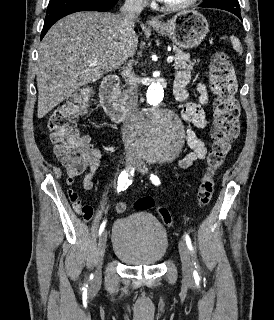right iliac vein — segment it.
I'll return each mask as SVG.
<instances>
[{"label": "right iliac vein", "instance_id": "63e3f726", "mask_svg": "<svg viewBox=\"0 0 274 320\" xmlns=\"http://www.w3.org/2000/svg\"><path fill=\"white\" fill-rule=\"evenodd\" d=\"M137 161L133 158H127L125 161V165L127 168H131L135 166ZM106 243H107V232L104 231L98 241L97 251H96V271L94 274V278L92 281V286L94 288L98 287L101 283V264L104 257L105 249H106Z\"/></svg>", "mask_w": 274, "mask_h": 320}]
</instances>
